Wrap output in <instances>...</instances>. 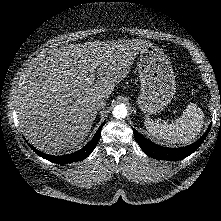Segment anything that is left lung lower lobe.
Wrapping results in <instances>:
<instances>
[{
  "label": "left lung lower lobe",
  "mask_w": 221,
  "mask_h": 221,
  "mask_svg": "<svg viewBox=\"0 0 221 221\" xmlns=\"http://www.w3.org/2000/svg\"><path fill=\"white\" fill-rule=\"evenodd\" d=\"M211 125L208 127L207 131L204 135L195 143L180 148H166L163 146H159L154 144L150 140L146 139L144 136L139 134L135 129H133L134 137L138 144L140 145L141 149L150 156L151 158H155L158 160H168V161H178L186 158L187 156L191 155L193 152L197 150V148L202 144L204 139L209 133Z\"/></svg>",
  "instance_id": "1"
}]
</instances>
